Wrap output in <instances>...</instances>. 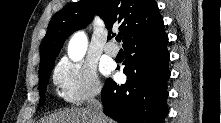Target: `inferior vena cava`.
<instances>
[{"mask_svg": "<svg viewBox=\"0 0 221 123\" xmlns=\"http://www.w3.org/2000/svg\"><path fill=\"white\" fill-rule=\"evenodd\" d=\"M100 90L95 92V95L99 94ZM103 106L102 103L95 98H93L88 105V110L91 113L92 123H103Z\"/></svg>", "mask_w": 221, "mask_h": 123, "instance_id": "inferior-vena-cava-1", "label": "inferior vena cava"}]
</instances>
